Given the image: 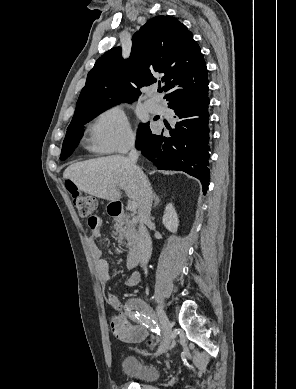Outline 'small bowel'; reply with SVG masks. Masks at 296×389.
I'll use <instances>...</instances> for the list:
<instances>
[{
    "mask_svg": "<svg viewBox=\"0 0 296 389\" xmlns=\"http://www.w3.org/2000/svg\"><path fill=\"white\" fill-rule=\"evenodd\" d=\"M89 226L91 228V236L89 237V249L95 261L96 270L100 279L103 282H107L111 277L110 268L107 261L102 258V252L96 243V240L99 239L102 235L101 219L97 217L96 223L94 225ZM139 282L140 273L136 269H132L130 276L127 280V286L134 287ZM108 300L110 304L114 307V309L119 312V314L114 317L112 322L113 329L116 328L121 332L119 337L131 343L142 342L148 335V331L146 330V328L141 325H130L127 323L124 317L120 314V312L122 311V304L116 295L109 294Z\"/></svg>",
    "mask_w": 296,
    "mask_h": 389,
    "instance_id": "obj_1",
    "label": "small bowel"
}]
</instances>
